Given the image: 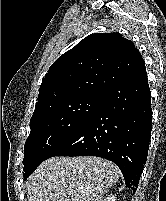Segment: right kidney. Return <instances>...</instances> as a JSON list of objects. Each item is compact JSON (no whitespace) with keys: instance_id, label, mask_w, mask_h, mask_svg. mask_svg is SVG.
Returning a JSON list of instances; mask_svg holds the SVG:
<instances>
[{"instance_id":"ca27d5eb","label":"right kidney","mask_w":166,"mask_h":201,"mask_svg":"<svg viewBox=\"0 0 166 201\" xmlns=\"http://www.w3.org/2000/svg\"><path fill=\"white\" fill-rule=\"evenodd\" d=\"M102 201H116V197L114 195H110L104 198Z\"/></svg>"}]
</instances>
